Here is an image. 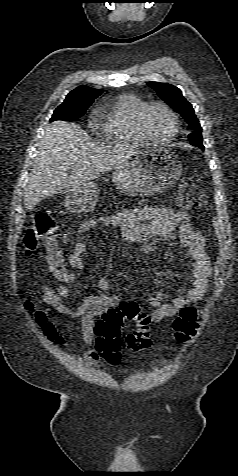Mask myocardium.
<instances>
[{
  "label": "myocardium",
  "mask_w": 238,
  "mask_h": 476,
  "mask_svg": "<svg viewBox=\"0 0 238 476\" xmlns=\"http://www.w3.org/2000/svg\"><path fill=\"white\" fill-rule=\"evenodd\" d=\"M156 106L161 107L162 109H164L168 113V115L171 117L172 122H173V129H172L171 134L167 138L162 139V140H158V139H155V138L151 137L149 135V133L147 132V129H146V126H145V116H146L148 110L150 108L156 107ZM136 125H137V129H138L140 135L143 137V139L146 142L156 144V145H165V144L170 143L176 137V135L179 132V118H178L177 114L175 113V111L168 104H166L163 101H159V100H153V101L146 102L140 107V109L138 110L137 116H136Z\"/></svg>",
  "instance_id": "1"
}]
</instances>
